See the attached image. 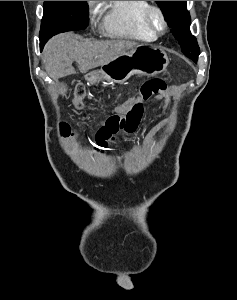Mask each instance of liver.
<instances>
[{
    "mask_svg": "<svg viewBox=\"0 0 237 300\" xmlns=\"http://www.w3.org/2000/svg\"><path fill=\"white\" fill-rule=\"evenodd\" d=\"M137 43L132 41H91L77 35H57L48 41L43 51V61L47 73L54 79L75 75L72 67L76 61L81 73H88L90 69L106 65L116 55L133 49Z\"/></svg>",
    "mask_w": 237,
    "mask_h": 300,
    "instance_id": "liver-1",
    "label": "liver"
}]
</instances>
